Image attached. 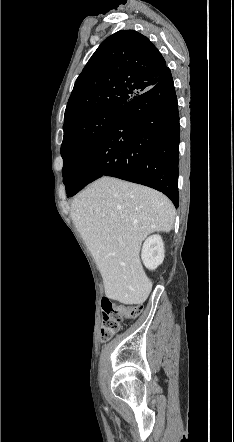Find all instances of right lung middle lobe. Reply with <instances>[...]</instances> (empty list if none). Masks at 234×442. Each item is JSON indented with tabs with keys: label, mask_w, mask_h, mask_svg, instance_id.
<instances>
[{
	"label": "right lung middle lobe",
	"mask_w": 234,
	"mask_h": 442,
	"mask_svg": "<svg viewBox=\"0 0 234 442\" xmlns=\"http://www.w3.org/2000/svg\"><path fill=\"white\" fill-rule=\"evenodd\" d=\"M119 111L120 107L101 109L63 127L61 156L64 161L62 174L66 189L71 183L70 172L74 165L104 136Z\"/></svg>",
	"instance_id": "obj_1"
}]
</instances>
